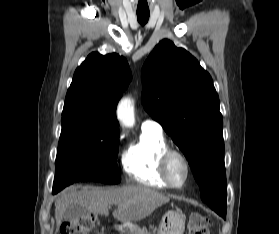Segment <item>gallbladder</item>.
Masks as SVG:
<instances>
[{
  "mask_svg": "<svg viewBox=\"0 0 279 234\" xmlns=\"http://www.w3.org/2000/svg\"><path fill=\"white\" fill-rule=\"evenodd\" d=\"M87 215H88V211L86 208H84L81 205L72 204L67 208L64 214V219L74 220V219L86 217Z\"/></svg>",
  "mask_w": 279,
  "mask_h": 234,
  "instance_id": "1",
  "label": "gallbladder"
}]
</instances>
